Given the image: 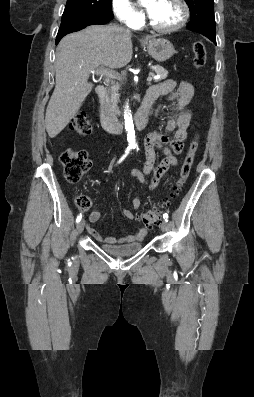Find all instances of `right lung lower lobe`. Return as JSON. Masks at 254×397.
<instances>
[{
	"mask_svg": "<svg viewBox=\"0 0 254 397\" xmlns=\"http://www.w3.org/2000/svg\"><path fill=\"white\" fill-rule=\"evenodd\" d=\"M113 17V14L105 16H93L73 10L64 11L61 25L56 37V44H58L62 37L68 33L79 31L88 25L106 24Z\"/></svg>",
	"mask_w": 254,
	"mask_h": 397,
	"instance_id": "98d812e1",
	"label": "right lung lower lobe"
}]
</instances>
